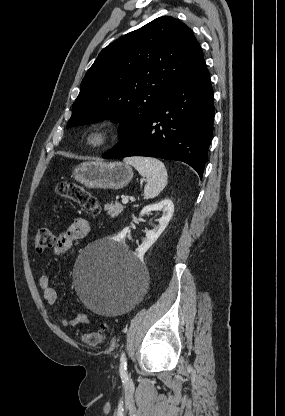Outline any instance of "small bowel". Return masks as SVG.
Returning a JSON list of instances; mask_svg holds the SVG:
<instances>
[{
    "label": "small bowel",
    "instance_id": "small-bowel-1",
    "mask_svg": "<svg viewBox=\"0 0 285 416\" xmlns=\"http://www.w3.org/2000/svg\"><path fill=\"white\" fill-rule=\"evenodd\" d=\"M90 230L91 226L87 219L76 218L68 226L66 231L60 234L57 238L53 245V253L56 256L63 255L71 248L74 241L86 238L89 235ZM39 285L47 303L50 305L56 304L58 301V295L56 290L50 285L49 277L47 275L43 274L40 276ZM56 320L61 326L66 328H74L89 322V318L85 313H78L71 319L63 316H57Z\"/></svg>",
    "mask_w": 285,
    "mask_h": 416
}]
</instances>
